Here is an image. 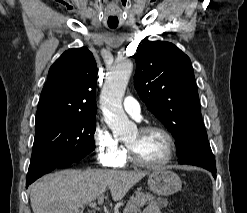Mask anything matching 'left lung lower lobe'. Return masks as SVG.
Returning a JSON list of instances; mask_svg holds the SVG:
<instances>
[{"label": "left lung lower lobe", "instance_id": "left-lung-lower-lobe-1", "mask_svg": "<svg viewBox=\"0 0 247 213\" xmlns=\"http://www.w3.org/2000/svg\"><path fill=\"white\" fill-rule=\"evenodd\" d=\"M180 164H191L203 167L212 172L216 178V162L208 138L197 139L191 148L180 157Z\"/></svg>", "mask_w": 247, "mask_h": 213}]
</instances>
